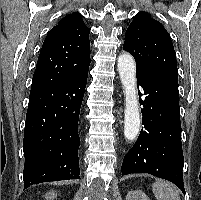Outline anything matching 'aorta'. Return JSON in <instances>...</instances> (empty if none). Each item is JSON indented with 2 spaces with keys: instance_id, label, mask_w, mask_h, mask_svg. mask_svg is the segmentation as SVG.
<instances>
[{
  "instance_id": "obj_1",
  "label": "aorta",
  "mask_w": 201,
  "mask_h": 200,
  "mask_svg": "<svg viewBox=\"0 0 201 200\" xmlns=\"http://www.w3.org/2000/svg\"><path fill=\"white\" fill-rule=\"evenodd\" d=\"M118 71L124 88V136L128 141L136 138L140 129V113L136 90V65L132 55L125 53L118 57Z\"/></svg>"
}]
</instances>
